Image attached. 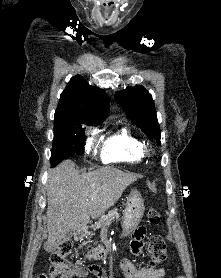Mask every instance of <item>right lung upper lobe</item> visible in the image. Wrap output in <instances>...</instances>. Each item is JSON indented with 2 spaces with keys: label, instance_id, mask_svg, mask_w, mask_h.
I'll return each mask as SVG.
<instances>
[{
  "label": "right lung upper lobe",
  "instance_id": "1",
  "mask_svg": "<svg viewBox=\"0 0 221 278\" xmlns=\"http://www.w3.org/2000/svg\"><path fill=\"white\" fill-rule=\"evenodd\" d=\"M108 111L109 98L105 91L90 86L83 77L77 75L71 78L60 95L55 118L100 124Z\"/></svg>",
  "mask_w": 221,
  "mask_h": 278
}]
</instances>
